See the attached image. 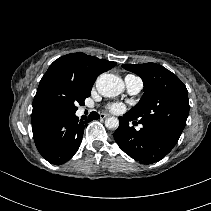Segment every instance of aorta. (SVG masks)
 Segmentation results:
<instances>
[{
	"label": "aorta",
	"mask_w": 211,
	"mask_h": 211,
	"mask_svg": "<svg viewBox=\"0 0 211 211\" xmlns=\"http://www.w3.org/2000/svg\"><path fill=\"white\" fill-rule=\"evenodd\" d=\"M97 91L104 97H115L124 90V82L116 75L103 73L96 80ZM105 126L109 129H116L119 120L116 117L106 119Z\"/></svg>",
	"instance_id": "aorta-1"
}]
</instances>
